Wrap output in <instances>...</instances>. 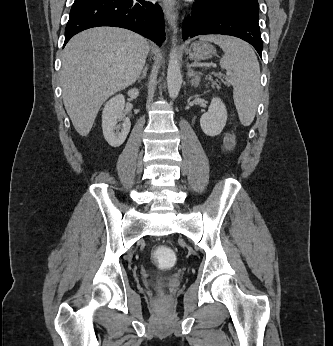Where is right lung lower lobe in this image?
Segmentation results:
<instances>
[{"mask_svg": "<svg viewBox=\"0 0 333 346\" xmlns=\"http://www.w3.org/2000/svg\"><path fill=\"white\" fill-rule=\"evenodd\" d=\"M113 26L132 30L160 45L165 39L163 12L146 0H75L65 28L66 43L92 27Z\"/></svg>", "mask_w": 333, "mask_h": 346, "instance_id": "1", "label": "right lung lower lobe"}]
</instances>
